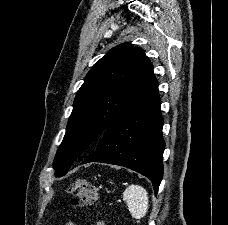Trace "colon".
Instances as JSON below:
<instances>
[{"label":"colon","mask_w":228,"mask_h":225,"mask_svg":"<svg viewBox=\"0 0 228 225\" xmlns=\"http://www.w3.org/2000/svg\"><path fill=\"white\" fill-rule=\"evenodd\" d=\"M67 192L72 196L75 204L92 205L97 199V188L94 183L86 179H78L73 181ZM96 225H104L101 219L96 220Z\"/></svg>","instance_id":"1"}]
</instances>
